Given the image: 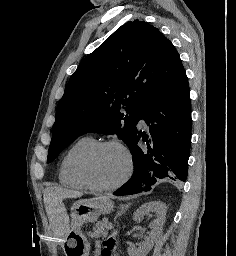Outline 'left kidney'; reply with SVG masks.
<instances>
[{"instance_id":"left-kidney-1","label":"left kidney","mask_w":236,"mask_h":256,"mask_svg":"<svg viewBox=\"0 0 236 256\" xmlns=\"http://www.w3.org/2000/svg\"><path fill=\"white\" fill-rule=\"evenodd\" d=\"M150 212H155L156 220L151 222L149 228H151V234L149 238H146L145 242L138 244L139 248L135 246H129L128 256H147L151 248H153L157 238L162 234V226L165 222L166 216V206L162 202H148V204H143L139 210L134 212L135 222H141L143 216H147Z\"/></svg>"}]
</instances>
